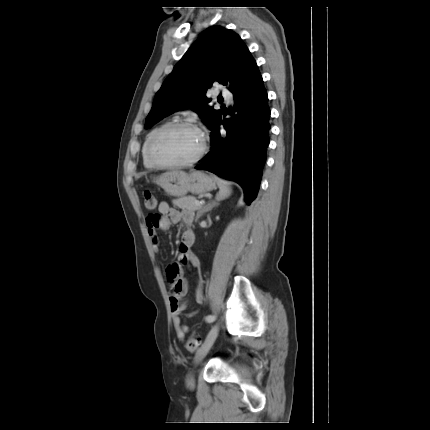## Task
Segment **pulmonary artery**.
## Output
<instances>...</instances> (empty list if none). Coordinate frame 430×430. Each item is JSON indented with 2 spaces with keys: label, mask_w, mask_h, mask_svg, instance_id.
<instances>
[{
  "label": "pulmonary artery",
  "mask_w": 430,
  "mask_h": 430,
  "mask_svg": "<svg viewBox=\"0 0 430 430\" xmlns=\"http://www.w3.org/2000/svg\"><path fill=\"white\" fill-rule=\"evenodd\" d=\"M220 93L228 100H230L232 97L231 93L225 88H222Z\"/></svg>",
  "instance_id": "1"
}]
</instances>
